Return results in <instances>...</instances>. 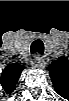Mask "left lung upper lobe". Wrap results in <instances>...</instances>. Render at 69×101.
I'll return each mask as SVG.
<instances>
[{
  "mask_svg": "<svg viewBox=\"0 0 69 101\" xmlns=\"http://www.w3.org/2000/svg\"><path fill=\"white\" fill-rule=\"evenodd\" d=\"M49 75L55 90L59 95H64L69 85V61L60 57L49 65Z\"/></svg>",
  "mask_w": 69,
  "mask_h": 101,
  "instance_id": "obj_1",
  "label": "left lung upper lobe"
}]
</instances>
